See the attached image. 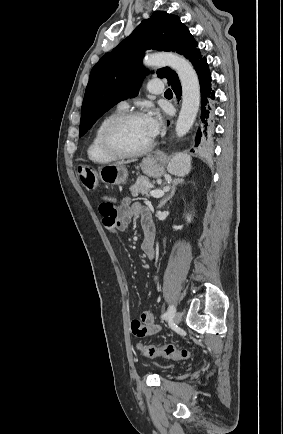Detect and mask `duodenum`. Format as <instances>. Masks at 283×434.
<instances>
[{
    "mask_svg": "<svg viewBox=\"0 0 283 434\" xmlns=\"http://www.w3.org/2000/svg\"><path fill=\"white\" fill-rule=\"evenodd\" d=\"M145 232V239L148 241L154 240V227L153 226H146L144 229Z\"/></svg>",
    "mask_w": 283,
    "mask_h": 434,
    "instance_id": "duodenum-1",
    "label": "duodenum"
}]
</instances>
